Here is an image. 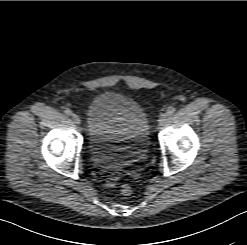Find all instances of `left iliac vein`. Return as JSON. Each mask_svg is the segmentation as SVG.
I'll use <instances>...</instances> for the list:
<instances>
[{
  "instance_id": "4c4485c4",
  "label": "left iliac vein",
  "mask_w": 247,
  "mask_h": 245,
  "mask_svg": "<svg viewBox=\"0 0 247 245\" xmlns=\"http://www.w3.org/2000/svg\"><path fill=\"white\" fill-rule=\"evenodd\" d=\"M167 115L165 113L161 114L158 119L159 127H162L166 121Z\"/></svg>"
}]
</instances>
